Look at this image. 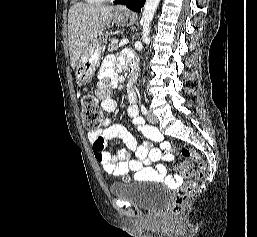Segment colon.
<instances>
[{"instance_id":"5ec220e1","label":"colon","mask_w":257,"mask_h":237,"mask_svg":"<svg viewBox=\"0 0 257 237\" xmlns=\"http://www.w3.org/2000/svg\"><path fill=\"white\" fill-rule=\"evenodd\" d=\"M81 114L83 125L86 129L96 131L100 128L102 114L97 97L92 94L84 95L81 102ZM181 154L187 161L180 164L176 169L186 181L177 191L171 207V215L175 219L182 217L191 194L196 190L197 180L202 179L206 172V164L204 162H199L197 167L192 163V161L199 160V153L197 151L184 147L181 150Z\"/></svg>"}]
</instances>
